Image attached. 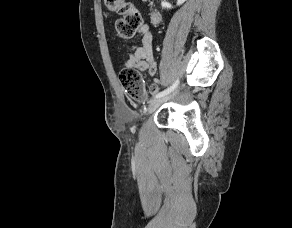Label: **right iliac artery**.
Instances as JSON below:
<instances>
[{
    "instance_id": "obj_1",
    "label": "right iliac artery",
    "mask_w": 292,
    "mask_h": 228,
    "mask_svg": "<svg viewBox=\"0 0 292 228\" xmlns=\"http://www.w3.org/2000/svg\"><path fill=\"white\" fill-rule=\"evenodd\" d=\"M178 83H179V81H178V79H177V80L173 83L172 86H170L169 88H167V89L164 90V91L159 92V93L155 96V98H161V97H163V96L169 94L171 91H173V90L177 87Z\"/></svg>"
}]
</instances>
